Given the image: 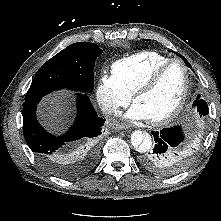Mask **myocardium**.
<instances>
[{
  "instance_id": "1",
  "label": "myocardium",
  "mask_w": 221,
  "mask_h": 221,
  "mask_svg": "<svg viewBox=\"0 0 221 221\" xmlns=\"http://www.w3.org/2000/svg\"><path fill=\"white\" fill-rule=\"evenodd\" d=\"M174 63H180L184 68L186 78L185 89L180 101L171 112L157 119H149V122L155 126L168 124L174 120L186 106L192 91L191 72L187 63L181 58H170L160 65L133 93V102L135 103L139 96L151 91L157 85L165 71Z\"/></svg>"
}]
</instances>
